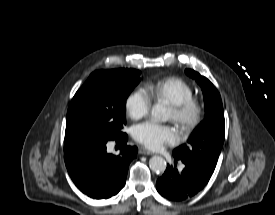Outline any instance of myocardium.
Masks as SVG:
<instances>
[{"label":"myocardium","instance_id":"obj_1","mask_svg":"<svg viewBox=\"0 0 275 215\" xmlns=\"http://www.w3.org/2000/svg\"><path fill=\"white\" fill-rule=\"evenodd\" d=\"M171 110L174 114L173 121L185 133L193 131L201 123L204 116L203 104L195 98L171 105Z\"/></svg>","mask_w":275,"mask_h":215}]
</instances>
